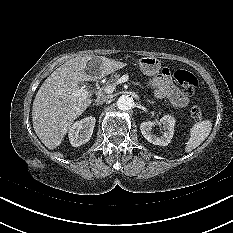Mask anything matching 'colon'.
<instances>
[{
	"instance_id": "1",
	"label": "colon",
	"mask_w": 233,
	"mask_h": 233,
	"mask_svg": "<svg viewBox=\"0 0 233 233\" xmlns=\"http://www.w3.org/2000/svg\"><path fill=\"white\" fill-rule=\"evenodd\" d=\"M174 79L188 95H193L198 81L196 76L190 71L179 69L174 72ZM191 117L195 121L202 119V110L199 106L194 105L190 110Z\"/></svg>"
}]
</instances>
